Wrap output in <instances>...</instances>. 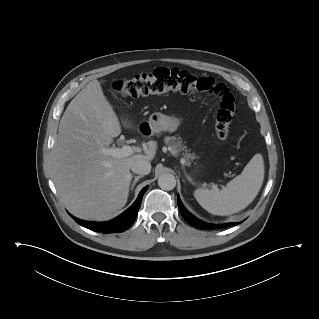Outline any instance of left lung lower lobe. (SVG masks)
Masks as SVG:
<instances>
[{
    "label": "left lung lower lobe",
    "mask_w": 319,
    "mask_h": 319,
    "mask_svg": "<svg viewBox=\"0 0 319 319\" xmlns=\"http://www.w3.org/2000/svg\"><path fill=\"white\" fill-rule=\"evenodd\" d=\"M178 202V206L180 209V212L182 214V216L185 218V220L191 224L192 226H194L195 228L198 229H205V230H209V229H220V228H225L228 226H233V225H237L239 223L235 222V223H227V224H220V225H213V224H208L205 223L201 220H198L196 217H194L193 215H191L182 205L179 197L177 199Z\"/></svg>",
    "instance_id": "obj_1"
}]
</instances>
